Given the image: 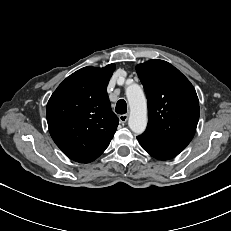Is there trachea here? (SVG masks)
Instances as JSON below:
<instances>
[{
	"instance_id": "obj_1",
	"label": "trachea",
	"mask_w": 231,
	"mask_h": 231,
	"mask_svg": "<svg viewBox=\"0 0 231 231\" xmlns=\"http://www.w3.org/2000/svg\"><path fill=\"white\" fill-rule=\"evenodd\" d=\"M116 113L118 114H125L127 112V104L126 101L123 99H120L115 108Z\"/></svg>"
}]
</instances>
